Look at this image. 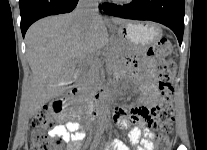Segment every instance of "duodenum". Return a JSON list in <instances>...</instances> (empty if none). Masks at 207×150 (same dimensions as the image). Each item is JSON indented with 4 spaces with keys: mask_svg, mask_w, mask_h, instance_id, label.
<instances>
[{
    "mask_svg": "<svg viewBox=\"0 0 207 150\" xmlns=\"http://www.w3.org/2000/svg\"><path fill=\"white\" fill-rule=\"evenodd\" d=\"M79 91H80V88L77 84L71 85V87L67 93V98L68 99L74 98L79 93ZM107 96H108V90L106 87L97 88L93 92V94L90 98L89 109L85 110L81 107H76L73 109V115L75 117H80V116L86 115V114H89L91 116L95 115L97 110L101 106V104L106 101Z\"/></svg>",
    "mask_w": 207,
    "mask_h": 150,
    "instance_id": "obj_1",
    "label": "duodenum"
}]
</instances>
